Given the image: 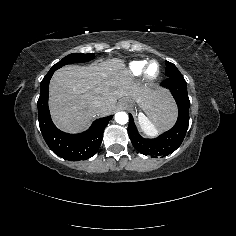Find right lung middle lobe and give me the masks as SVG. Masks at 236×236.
Listing matches in <instances>:
<instances>
[{"instance_id": "obj_1", "label": "right lung middle lobe", "mask_w": 236, "mask_h": 236, "mask_svg": "<svg viewBox=\"0 0 236 236\" xmlns=\"http://www.w3.org/2000/svg\"><path fill=\"white\" fill-rule=\"evenodd\" d=\"M94 58V54H79L73 53L66 57H64L61 61L57 64L53 65L50 70L56 71L58 68H61L64 65L71 64V63H80V62H88Z\"/></svg>"}]
</instances>
